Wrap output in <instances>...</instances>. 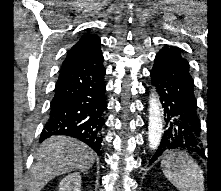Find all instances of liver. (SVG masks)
Returning <instances> with one entry per match:
<instances>
[{"label":"liver","instance_id":"1","mask_svg":"<svg viewBox=\"0 0 221 191\" xmlns=\"http://www.w3.org/2000/svg\"><path fill=\"white\" fill-rule=\"evenodd\" d=\"M34 156L36 163L30 170L29 191H41L50 180L61 174L87 171L96 158L94 151L83 142L66 136L50 137Z\"/></svg>","mask_w":221,"mask_h":191}]
</instances>
